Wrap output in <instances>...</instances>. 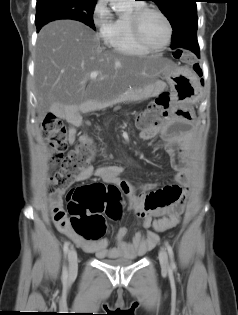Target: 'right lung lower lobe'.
<instances>
[{
	"instance_id": "right-lung-lower-lobe-1",
	"label": "right lung lower lobe",
	"mask_w": 238,
	"mask_h": 315,
	"mask_svg": "<svg viewBox=\"0 0 238 315\" xmlns=\"http://www.w3.org/2000/svg\"><path fill=\"white\" fill-rule=\"evenodd\" d=\"M42 28V26L37 27V31H39Z\"/></svg>"
}]
</instances>
